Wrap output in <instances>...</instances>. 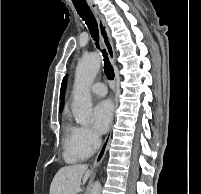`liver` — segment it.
Segmentation results:
<instances>
[{
	"instance_id": "1",
	"label": "liver",
	"mask_w": 201,
	"mask_h": 194,
	"mask_svg": "<svg viewBox=\"0 0 201 194\" xmlns=\"http://www.w3.org/2000/svg\"><path fill=\"white\" fill-rule=\"evenodd\" d=\"M90 175L91 171L85 164L62 167L52 180L50 194H77L81 180L85 184Z\"/></svg>"
}]
</instances>
